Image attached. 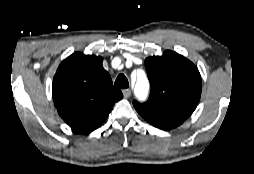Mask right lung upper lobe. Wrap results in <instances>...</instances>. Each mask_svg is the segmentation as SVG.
Listing matches in <instances>:
<instances>
[{
    "label": "right lung upper lobe",
    "mask_w": 254,
    "mask_h": 174,
    "mask_svg": "<svg viewBox=\"0 0 254 174\" xmlns=\"http://www.w3.org/2000/svg\"><path fill=\"white\" fill-rule=\"evenodd\" d=\"M102 57L75 52L59 65L53 79V100L59 115L74 130L89 133L123 98L102 66Z\"/></svg>",
    "instance_id": "cb5924a9"
}]
</instances>
